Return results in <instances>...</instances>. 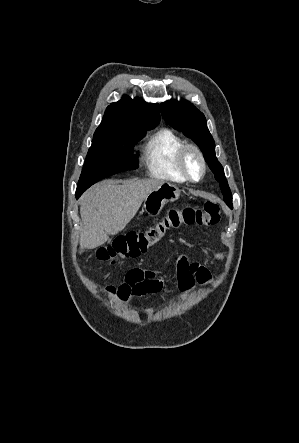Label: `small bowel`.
<instances>
[{
	"label": "small bowel",
	"mask_w": 299,
	"mask_h": 443,
	"mask_svg": "<svg viewBox=\"0 0 299 443\" xmlns=\"http://www.w3.org/2000/svg\"><path fill=\"white\" fill-rule=\"evenodd\" d=\"M220 258L221 256L218 255ZM176 279L183 294L192 291L195 283L207 285L210 282L209 270L199 263L191 262L186 255H180L176 262ZM164 279L158 272L150 269L134 268L123 282L109 288V292L120 302L131 303L138 297L160 292Z\"/></svg>",
	"instance_id": "c3829d8e"
}]
</instances>
